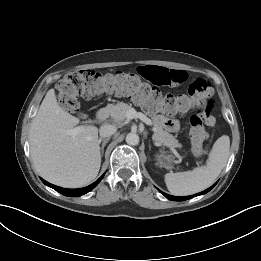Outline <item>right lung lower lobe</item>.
<instances>
[{
  "label": "right lung lower lobe",
  "mask_w": 261,
  "mask_h": 261,
  "mask_svg": "<svg viewBox=\"0 0 261 261\" xmlns=\"http://www.w3.org/2000/svg\"><path fill=\"white\" fill-rule=\"evenodd\" d=\"M104 175H102L97 181H95L93 184L84 187V188H80V189H64L58 186H55L53 184L48 183L47 181L41 179L43 181V183L51 188H53L54 190L58 191L59 193L65 195V196H69V197H77V196H81L83 194H86L87 192L91 191L103 178Z\"/></svg>",
  "instance_id": "right-lung-lower-lobe-1"
}]
</instances>
